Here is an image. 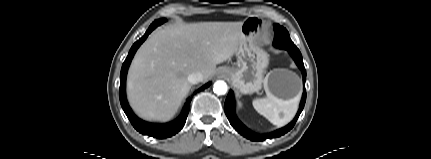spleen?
<instances>
[{
    "label": "spleen",
    "mask_w": 431,
    "mask_h": 159,
    "mask_svg": "<svg viewBox=\"0 0 431 159\" xmlns=\"http://www.w3.org/2000/svg\"><path fill=\"white\" fill-rule=\"evenodd\" d=\"M265 91V98L253 100L254 109L273 125L282 127L289 123L297 112L300 94L292 99L283 100L272 95L266 88Z\"/></svg>",
    "instance_id": "spleen-1"
}]
</instances>
